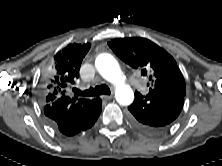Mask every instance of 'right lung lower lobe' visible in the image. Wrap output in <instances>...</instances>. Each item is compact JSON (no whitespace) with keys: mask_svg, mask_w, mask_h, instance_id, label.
<instances>
[{"mask_svg":"<svg viewBox=\"0 0 222 166\" xmlns=\"http://www.w3.org/2000/svg\"><path fill=\"white\" fill-rule=\"evenodd\" d=\"M102 110L100 98L86 101L84 107L72 98L46 94L44 114L49 125L66 136H73L92 127Z\"/></svg>","mask_w":222,"mask_h":166,"instance_id":"1","label":"right lung lower lobe"}]
</instances>
